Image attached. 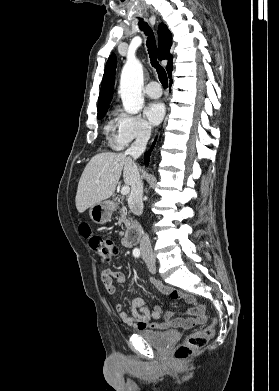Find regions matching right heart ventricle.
<instances>
[{
    "instance_id": "1",
    "label": "right heart ventricle",
    "mask_w": 279,
    "mask_h": 391,
    "mask_svg": "<svg viewBox=\"0 0 279 391\" xmlns=\"http://www.w3.org/2000/svg\"><path fill=\"white\" fill-rule=\"evenodd\" d=\"M105 130L107 133H109L111 130H112V122H109L106 127H105Z\"/></svg>"
}]
</instances>
